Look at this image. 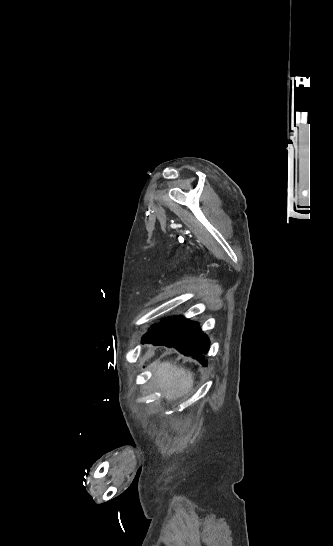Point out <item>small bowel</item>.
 Segmentation results:
<instances>
[{
  "mask_svg": "<svg viewBox=\"0 0 333 546\" xmlns=\"http://www.w3.org/2000/svg\"><path fill=\"white\" fill-rule=\"evenodd\" d=\"M145 351H146L147 353H148V352L151 353L153 350H152L151 348H150V349L147 348Z\"/></svg>",
  "mask_w": 333,
  "mask_h": 546,
  "instance_id": "1",
  "label": "small bowel"
}]
</instances>
